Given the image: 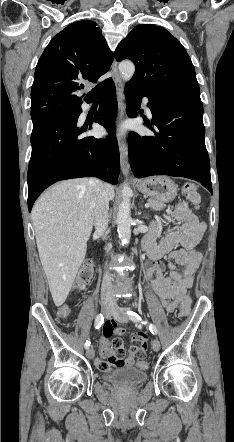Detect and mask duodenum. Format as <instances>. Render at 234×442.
<instances>
[{"instance_id": "obj_1", "label": "duodenum", "mask_w": 234, "mask_h": 442, "mask_svg": "<svg viewBox=\"0 0 234 442\" xmlns=\"http://www.w3.org/2000/svg\"><path fill=\"white\" fill-rule=\"evenodd\" d=\"M143 249L147 250V242L146 241L143 242Z\"/></svg>"}]
</instances>
